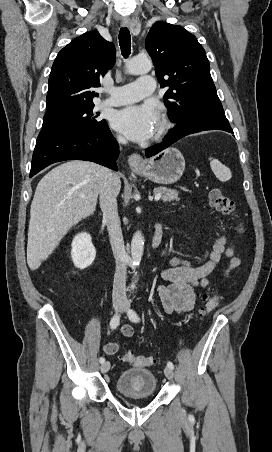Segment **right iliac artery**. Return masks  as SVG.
<instances>
[{
	"label": "right iliac artery",
	"instance_id": "1",
	"mask_svg": "<svg viewBox=\"0 0 272 452\" xmlns=\"http://www.w3.org/2000/svg\"><path fill=\"white\" fill-rule=\"evenodd\" d=\"M119 322H120V314L116 313V314L112 317V319H111V321H110V328H111V329H116V328L118 327V325H119ZM99 362H100L101 364L104 363V362H105V358H104V357H100V358H99Z\"/></svg>",
	"mask_w": 272,
	"mask_h": 452
}]
</instances>
